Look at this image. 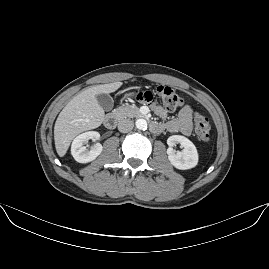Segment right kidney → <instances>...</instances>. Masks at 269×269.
<instances>
[{"label": "right kidney", "mask_w": 269, "mask_h": 269, "mask_svg": "<svg viewBox=\"0 0 269 269\" xmlns=\"http://www.w3.org/2000/svg\"><path fill=\"white\" fill-rule=\"evenodd\" d=\"M101 135L98 131L84 132L74 138L71 145V154L77 162L85 163L95 159L102 151V145L96 142L89 149L85 146L89 139L99 140Z\"/></svg>", "instance_id": "right-kidney-1"}]
</instances>
